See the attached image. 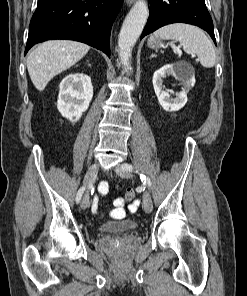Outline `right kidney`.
<instances>
[{
  "instance_id": "ca27d5eb",
  "label": "right kidney",
  "mask_w": 247,
  "mask_h": 296,
  "mask_svg": "<svg viewBox=\"0 0 247 296\" xmlns=\"http://www.w3.org/2000/svg\"><path fill=\"white\" fill-rule=\"evenodd\" d=\"M59 87V112L72 122L79 120L93 97L91 78L83 73H71L63 78Z\"/></svg>"
}]
</instances>
